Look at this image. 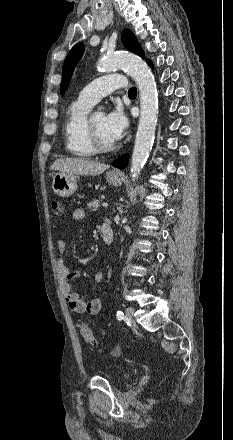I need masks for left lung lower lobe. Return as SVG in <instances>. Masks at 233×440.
<instances>
[{"label": "left lung lower lobe", "instance_id": "obj_1", "mask_svg": "<svg viewBox=\"0 0 233 440\" xmlns=\"http://www.w3.org/2000/svg\"><path fill=\"white\" fill-rule=\"evenodd\" d=\"M147 62L152 67V63L149 60H147ZM128 160H129V155L124 154L121 157H119L112 165L117 168H125L127 166Z\"/></svg>", "mask_w": 233, "mask_h": 440}]
</instances>
